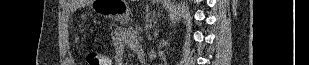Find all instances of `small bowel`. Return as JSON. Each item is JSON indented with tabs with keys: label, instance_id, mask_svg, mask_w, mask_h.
Masks as SVG:
<instances>
[{
	"label": "small bowel",
	"instance_id": "obj_1",
	"mask_svg": "<svg viewBox=\"0 0 309 65\" xmlns=\"http://www.w3.org/2000/svg\"><path fill=\"white\" fill-rule=\"evenodd\" d=\"M114 57H106L104 65H125L123 62V53L126 48L135 52L139 46L142 47L140 40L133 30L129 28L119 27L113 37Z\"/></svg>",
	"mask_w": 309,
	"mask_h": 65
}]
</instances>
